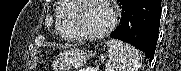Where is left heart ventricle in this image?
Instances as JSON below:
<instances>
[{
	"label": "left heart ventricle",
	"instance_id": "left-heart-ventricle-1",
	"mask_svg": "<svg viewBox=\"0 0 181 71\" xmlns=\"http://www.w3.org/2000/svg\"><path fill=\"white\" fill-rule=\"evenodd\" d=\"M109 21V11L98 0H82V9L77 22L81 32H99L109 24Z\"/></svg>",
	"mask_w": 181,
	"mask_h": 71
}]
</instances>
